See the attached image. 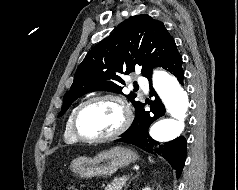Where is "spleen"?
<instances>
[{
    "instance_id": "1",
    "label": "spleen",
    "mask_w": 238,
    "mask_h": 190,
    "mask_svg": "<svg viewBox=\"0 0 238 190\" xmlns=\"http://www.w3.org/2000/svg\"><path fill=\"white\" fill-rule=\"evenodd\" d=\"M149 161L153 163V160L151 159V157H149Z\"/></svg>"
}]
</instances>
